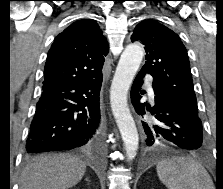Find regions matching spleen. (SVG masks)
<instances>
[{"mask_svg":"<svg viewBox=\"0 0 223 189\" xmlns=\"http://www.w3.org/2000/svg\"><path fill=\"white\" fill-rule=\"evenodd\" d=\"M157 175L168 189H214L204 167L191 158L175 157L158 163Z\"/></svg>","mask_w":223,"mask_h":189,"instance_id":"3e777b00","label":"spleen"}]
</instances>
